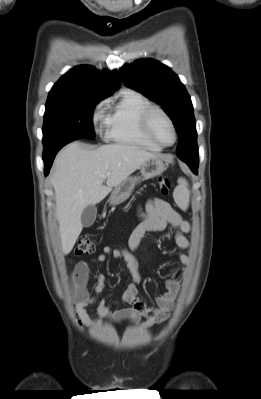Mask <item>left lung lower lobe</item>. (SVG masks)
I'll return each mask as SVG.
<instances>
[{
  "mask_svg": "<svg viewBox=\"0 0 261 399\" xmlns=\"http://www.w3.org/2000/svg\"><path fill=\"white\" fill-rule=\"evenodd\" d=\"M184 162L187 163L195 174H197L198 160H184Z\"/></svg>",
  "mask_w": 261,
  "mask_h": 399,
  "instance_id": "1",
  "label": "left lung lower lobe"
}]
</instances>
